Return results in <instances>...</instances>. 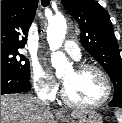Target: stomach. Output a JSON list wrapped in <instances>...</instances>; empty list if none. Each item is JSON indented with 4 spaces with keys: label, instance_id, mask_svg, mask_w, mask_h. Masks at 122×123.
Returning a JSON list of instances; mask_svg holds the SVG:
<instances>
[{
    "label": "stomach",
    "instance_id": "obj_1",
    "mask_svg": "<svg viewBox=\"0 0 122 123\" xmlns=\"http://www.w3.org/2000/svg\"><path fill=\"white\" fill-rule=\"evenodd\" d=\"M62 120L65 123H103L102 117L94 111H84L75 120H69L64 117H62Z\"/></svg>",
    "mask_w": 122,
    "mask_h": 123
}]
</instances>
